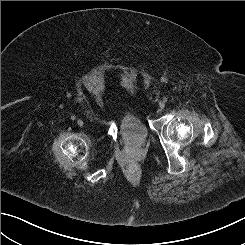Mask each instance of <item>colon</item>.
<instances>
[{
	"mask_svg": "<svg viewBox=\"0 0 245 245\" xmlns=\"http://www.w3.org/2000/svg\"><path fill=\"white\" fill-rule=\"evenodd\" d=\"M136 168H137L136 164L132 163V164H130V165L128 166V171H129L130 173H133V172H135Z\"/></svg>",
	"mask_w": 245,
	"mask_h": 245,
	"instance_id": "5ec220e1",
	"label": "colon"
}]
</instances>
